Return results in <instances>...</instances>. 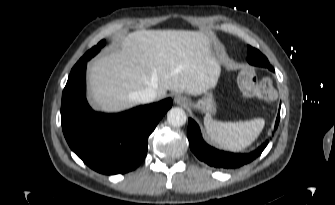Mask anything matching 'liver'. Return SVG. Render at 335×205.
<instances>
[{
  "instance_id": "obj_1",
  "label": "liver",
  "mask_w": 335,
  "mask_h": 205,
  "mask_svg": "<svg viewBox=\"0 0 335 205\" xmlns=\"http://www.w3.org/2000/svg\"><path fill=\"white\" fill-rule=\"evenodd\" d=\"M212 39L190 30H138L122 37L118 48L90 65L91 103L104 112H119L138 101L135 92L152 87L162 99L168 90L200 95L212 88L220 60Z\"/></svg>"
}]
</instances>
